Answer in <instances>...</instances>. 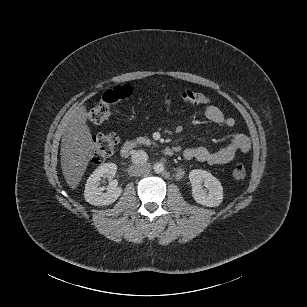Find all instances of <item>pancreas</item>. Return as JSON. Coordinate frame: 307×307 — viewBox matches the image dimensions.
<instances>
[{
    "instance_id": "obj_1",
    "label": "pancreas",
    "mask_w": 307,
    "mask_h": 307,
    "mask_svg": "<svg viewBox=\"0 0 307 307\" xmlns=\"http://www.w3.org/2000/svg\"><path fill=\"white\" fill-rule=\"evenodd\" d=\"M136 141L145 146H151L153 144V140L148 138L147 136L138 137Z\"/></svg>"
}]
</instances>
